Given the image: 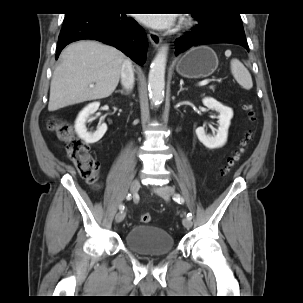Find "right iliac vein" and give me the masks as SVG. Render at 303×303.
Here are the masks:
<instances>
[{"mask_svg":"<svg viewBox=\"0 0 303 303\" xmlns=\"http://www.w3.org/2000/svg\"><path fill=\"white\" fill-rule=\"evenodd\" d=\"M139 188H140L139 180L138 179L132 180L131 183H130V192L132 194H136L138 192ZM125 215H126L125 212L118 213L115 217V222L116 223L122 222L125 218Z\"/></svg>","mask_w":303,"mask_h":303,"instance_id":"63e3f726","label":"right iliac vein"}]
</instances>
